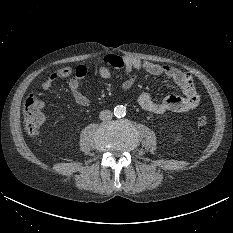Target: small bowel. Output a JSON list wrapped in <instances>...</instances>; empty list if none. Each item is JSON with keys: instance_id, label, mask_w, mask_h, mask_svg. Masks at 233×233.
Here are the masks:
<instances>
[{"instance_id": "c3829d8e", "label": "small bowel", "mask_w": 233, "mask_h": 233, "mask_svg": "<svg viewBox=\"0 0 233 233\" xmlns=\"http://www.w3.org/2000/svg\"><path fill=\"white\" fill-rule=\"evenodd\" d=\"M111 68L122 70L126 79L121 84L120 90H130L135 83V71L143 70L153 76H166L170 78L181 90L182 95H169L157 101L149 93L143 92L137 97V102L144 110L163 114L166 112H188L195 109L200 101V95L192 76L176 67L157 64L141 60L138 57L108 54L97 64L98 75L103 79H111ZM88 73V67L84 64L75 68L64 67L53 72L41 84L46 91L53 83L60 79H69V89L74 101L80 106H88L91 99L80 91V81Z\"/></svg>"}]
</instances>
